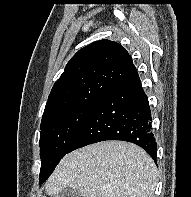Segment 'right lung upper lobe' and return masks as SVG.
Instances as JSON below:
<instances>
[{
	"label": "right lung upper lobe",
	"instance_id": "right-lung-upper-lobe-1",
	"mask_svg": "<svg viewBox=\"0 0 191 197\" xmlns=\"http://www.w3.org/2000/svg\"><path fill=\"white\" fill-rule=\"evenodd\" d=\"M137 75L130 55L120 44L93 42L68 62L51 90L42 118L70 107L97 103L112 87Z\"/></svg>",
	"mask_w": 191,
	"mask_h": 197
}]
</instances>
